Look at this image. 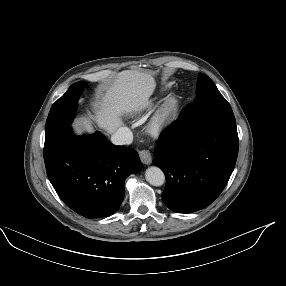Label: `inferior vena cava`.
Wrapping results in <instances>:
<instances>
[{
  "mask_svg": "<svg viewBox=\"0 0 286 286\" xmlns=\"http://www.w3.org/2000/svg\"><path fill=\"white\" fill-rule=\"evenodd\" d=\"M111 141L115 145H129L133 141V134L129 128L120 127L112 134Z\"/></svg>",
  "mask_w": 286,
  "mask_h": 286,
  "instance_id": "1",
  "label": "inferior vena cava"
}]
</instances>
